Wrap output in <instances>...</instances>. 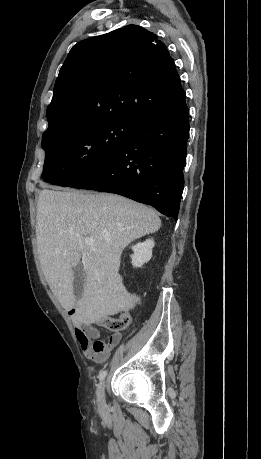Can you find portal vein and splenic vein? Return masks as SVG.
<instances>
[{"label": "portal vein and splenic vein", "instance_id": "1", "mask_svg": "<svg viewBox=\"0 0 261 459\" xmlns=\"http://www.w3.org/2000/svg\"><path fill=\"white\" fill-rule=\"evenodd\" d=\"M85 243L92 246L93 243H94V240H93V238H86L85 239Z\"/></svg>", "mask_w": 261, "mask_h": 459}]
</instances>
